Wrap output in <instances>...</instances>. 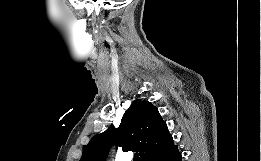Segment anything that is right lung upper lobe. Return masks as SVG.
Listing matches in <instances>:
<instances>
[{
	"label": "right lung upper lobe",
	"mask_w": 261,
	"mask_h": 161,
	"mask_svg": "<svg viewBox=\"0 0 261 161\" xmlns=\"http://www.w3.org/2000/svg\"><path fill=\"white\" fill-rule=\"evenodd\" d=\"M173 144L166 123L148 101L135 100L122 117L119 127L111 126L83 147L80 161H104L111 146L123 151L137 150L140 161Z\"/></svg>",
	"instance_id": "obj_1"
}]
</instances>
